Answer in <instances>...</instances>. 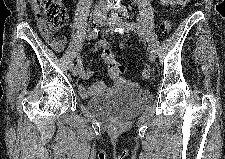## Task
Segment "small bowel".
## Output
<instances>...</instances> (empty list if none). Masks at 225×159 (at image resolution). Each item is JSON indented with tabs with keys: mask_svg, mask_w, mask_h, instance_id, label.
Masks as SVG:
<instances>
[{
	"mask_svg": "<svg viewBox=\"0 0 225 159\" xmlns=\"http://www.w3.org/2000/svg\"><path fill=\"white\" fill-rule=\"evenodd\" d=\"M183 0H161V4L162 5H181L183 4ZM34 9L36 11V13L39 12L38 6L35 5ZM42 34L44 36V38L46 39V41L49 43V45L57 52H61L63 49V44H64V38L62 36H53L48 34L47 32H45L42 29ZM60 41H62L63 43H61ZM108 47L107 46V42L104 40L98 41L95 44V49H104ZM109 48V47H108ZM121 48H123V45H121ZM92 75V72L90 70H83L80 67V78L82 80H88ZM110 75V73H109ZM111 76V75H110ZM111 78H113L116 81H121L122 78L121 77H113L111 76ZM103 87V82L102 81H97L93 86H85V85H79L78 86V91L80 93V95L84 98H89L91 97L94 93H96L97 91H99L101 88Z\"/></svg>",
	"mask_w": 225,
	"mask_h": 159,
	"instance_id": "small-bowel-1",
	"label": "small bowel"
}]
</instances>
